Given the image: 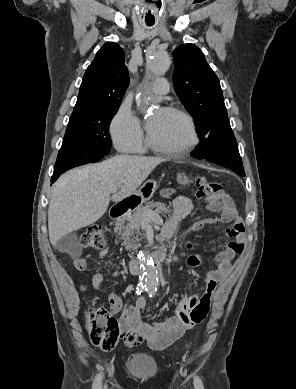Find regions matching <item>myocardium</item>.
<instances>
[{
    "mask_svg": "<svg viewBox=\"0 0 296 389\" xmlns=\"http://www.w3.org/2000/svg\"><path fill=\"white\" fill-rule=\"evenodd\" d=\"M165 110L172 112L174 114H177L185 120L187 127H188V131H189L188 140L180 146H175V147L163 146V145L157 144L153 140L150 132H148L147 143L153 150L160 152V153H163V154H167V155H171V156L185 155V154L189 153L198 144V141H199V136H198V131H197L195 121H194L193 117L187 111H185L181 108L169 106V107H166Z\"/></svg>",
    "mask_w": 296,
    "mask_h": 389,
    "instance_id": "myocardium-1",
    "label": "myocardium"
}]
</instances>
